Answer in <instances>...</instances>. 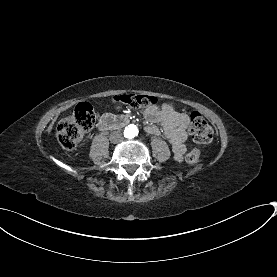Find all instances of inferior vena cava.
Masks as SVG:
<instances>
[{
  "instance_id": "602c4592",
  "label": "inferior vena cava",
  "mask_w": 277,
  "mask_h": 277,
  "mask_svg": "<svg viewBox=\"0 0 277 277\" xmlns=\"http://www.w3.org/2000/svg\"><path fill=\"white\" fill-rule=\"evenodd\" d=\"M122 138V134L119 131H114L110 134V140L111 141H120Z\"/></svg>"
}]
</instances>
